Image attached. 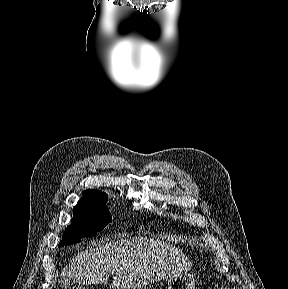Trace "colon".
Masks as SVG:
<instances>
[{"instance_id":"obj_1","label":"colon","mask_w":288,"mask_h":289,"mask_svg":"<svg viewBox=\"0 0 288 289\" xmlns=\"http://www.w3.org/2000/svg\"><path fill=\"white\" fill-rule=\"evenodd\" d=\"M78 289H81V288H78ZM214 289H232V288L226 287V286H217Z\"/></svg>"}]
</instances>
